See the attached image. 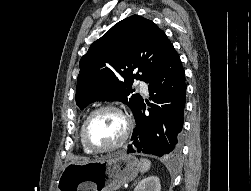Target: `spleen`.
Returning a JSON list of instances; mask_svg holds the SVG:
<instances>
[{
    "instance_id": "spleen-1",
    "label": "spleen",
    "mask_w": 251,
    "mask_h": 191,
    "mask_svg": "<svg viewBox=\"0 0 251 191\" xmlns=\"http://www.w3.org/2000/svg\"><path fill=\"white\" fill-rule=\"evenodd\" d=\"M151 165V161L149 159H140V171L144 173V171H148Z\"/></svg>"
}]
</instances>
